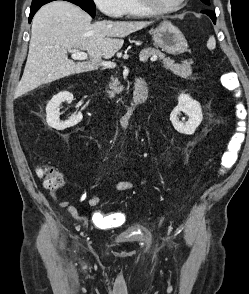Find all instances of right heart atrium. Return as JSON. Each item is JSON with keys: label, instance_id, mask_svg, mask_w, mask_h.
<instances>
[{"label": "right heart atrium", "instance_id": "obj_1", "mask_svg": "<svg viewBox=\"0 0 249 294\" xmlns=\"http://www.w3.org/2000/svg\"><path fill=\"white\" fill-rule=\"evenodd\" d=\"M101 12L110 17L121 16L123 0H93Z\"/></svg>", "mask_w": 249, "mask_h": 294}]
</instances>
